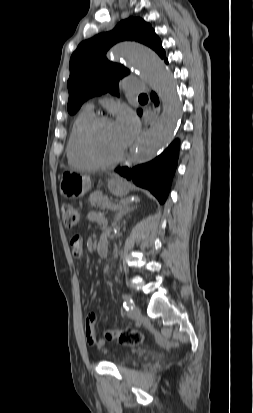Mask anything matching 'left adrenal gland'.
I'll list each match as a JSON object with an SVG mask.
<instances>
[{"label":"left adrenal gland","mask_w":253,"mask_h":413,"mask_svg":"<svg viewBox=\"0 0 253 413\" xmlns=\"http://www.w3.org/2000/svg\"><path fill=\"white\" fill-rule=\"evenodd\" d=\"M134 210V207H130V202H125L119 211L115 214V221H120L123 216L130 214Z\"/></svg>","instance_id":"obj_1"}]
</instances>
